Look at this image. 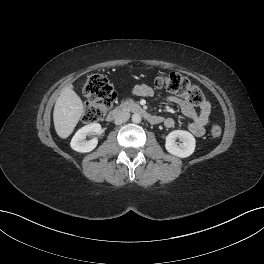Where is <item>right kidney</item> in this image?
<instances>
[{"label":"right kidney","mask_w":264,"mask_h":264,"mask_svg":"<svg viewBox=\"0 0 264 264\" xmlns=\"http://www.w3.org/2000/svg\"><path fill=\"white\" fill-rule=\"evenodd\" d=\"M91 133L100 134L101 125L98 123H91L79 129L71 140V148L81 153L92 151L97 146L98 140L97 138H93L89 141H86V136Z\"/></svg>","instance_id":"obj_1"}]
</instances>
